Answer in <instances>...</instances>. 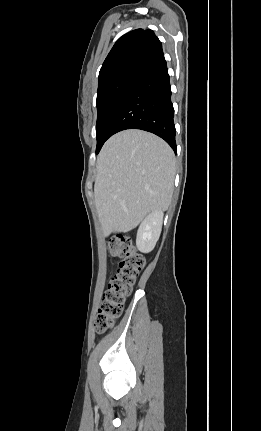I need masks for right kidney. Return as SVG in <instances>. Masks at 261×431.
I'll list each match as a JSON object with an SVG mask.
<instances>
[{
	"mask_svg": "<svg viewBox=\"0 0 261 431\" xmlns=\"http://www.w3.org/2000/svg\"><path fill=\"white\" fill-rule=\"evenodd\" d=\"M163 223V212H151L140 224L137 231L136 246L139 251H152L158 241Z\"/></svg>",
	"mask_w": 261,
	"mask_h": 431,
	"instance_id": "right-kidney-1",
	"label": "right kidney"
}]
</instances>
